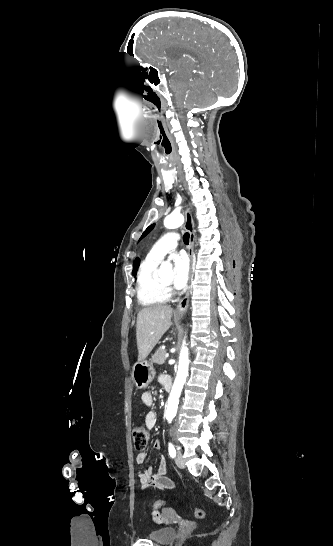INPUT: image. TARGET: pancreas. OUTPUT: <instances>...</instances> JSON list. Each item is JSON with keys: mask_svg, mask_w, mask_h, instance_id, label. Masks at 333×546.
<instances>
[{"mask_svg": "<svg viewBox=\"0 0 333 546\" xmlns=\"http://www.w3.org/2000/svg\"><path fill=\"white\" fill-rule=\"evenodd\" d=\"M165 354H166V350L163 349V348H159L155 354L152 356V359L151 361L153 363H156L158 365H162L165 363V360H166V357H165Z\"/></svg>", "mask_w": 333, "mask_h": 546, "instance_id": "pancreas-1", "label": "pancreas"}]
</instances>
